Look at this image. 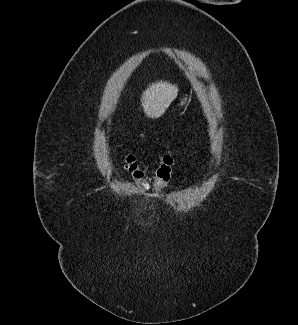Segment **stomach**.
Masks as SVG:
<instances>
[{"mask_svg": "<svg viewBox=\"0 0 298 325\" xmlns=\"http://www.w3.org/2000/svg\"><path fill=\"white\" fill-rule=\"evenodd\" d=\"M188 98V94H182L181 98L178 100V106H184V104H187Z\"/></svg>", "mask_w": 298, "mask_h": 325, "instance_id": "obj_1", "label": "stomach"}]
</instances>
